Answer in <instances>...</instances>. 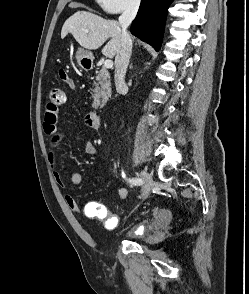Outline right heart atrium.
<instances>
[{
  "instance_id": "1",
  "label": "right heart atrium",
  "mask_w": 249,
  "mask_h": 294,
  "mask_svg": "<svg viewBox=\"0 0 249 294\" xmlns=\"http://www.w3.org/2000/svg\"><path fill=\"white\" fill-rule=\"evenodd\" d=\"M100 7L109 14L136 10L141 0H96Z\"/></svg>"
}]
</instances>
